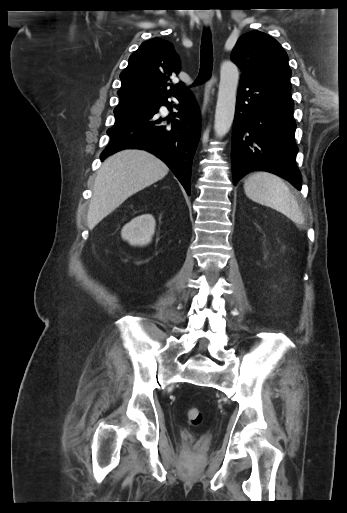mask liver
<instances>
[{
    "instance_id": "1",
    "label": "liver",
    "mask_w": 347,
    "mask_h": 513,
    "mask_svg": "<svg viewBox=\"0 0 347 513\" xmlns=\"http://www.w3.org/2000/svg\"><path fill=\"white\" fill-rule=\"evenodd\" d=\"M169 168L145 150L126 149L107 158L98 170L87 215L93 229L127 198L161 180Z\"/></svg>"
}]
</instances>
